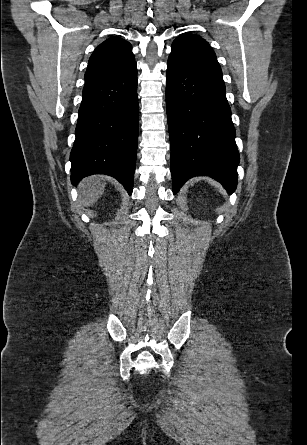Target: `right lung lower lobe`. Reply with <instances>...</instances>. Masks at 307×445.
<instances>
[{
	"label": "right lung lower lobe",
	"instance_id": "98d812e1",
	"mask_svg": "<svg viewBox=\"0 0 307 445\" xmlns=\"http://www.w3.org/2000/svg\"><path fill=\"white\" fill-rule=\"evenodd\" d=\"M138 117L136 64L85 83L70 155L73 185L85 176L106 174L132 194Z\"/></svg>",
	"mask_w": 307,
	"mask_h": 445
}]
</instances>
